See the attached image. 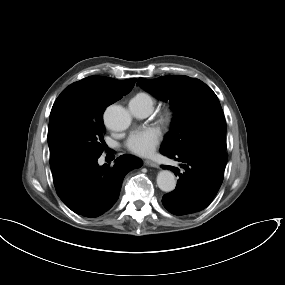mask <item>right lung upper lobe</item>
Masks as SVG:
<instances>
[{
  "instance_id": "right-lung-upper-lobe-1",
  "label": "right lung upper lobe",
  "mask_w": 285,
  "mask_h": 285,
  "mask_svg": "<svg viewBox=\"0 0 285 285\" xmlns=\"http://www.w3.org/2000/svg\"><path fill=\"white\" fill-rule=\"evenodd\" d=\"M135 82L136 78L128 80H116L109 77L90 76L71 85L96 91L103 94L114 103L121 99L122 96L129 93L132 90Z\"/></svg>"
}]
</instances>
